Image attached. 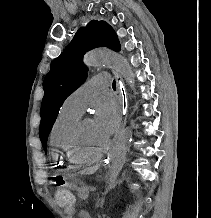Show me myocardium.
<instances>
[{
  "mask_svg": "<svg viewBox=\"0 0 211 218\" xmlns=\"http://www.w3.org/2000/svg\"><path fill=\"white\" fill-rule=\"evenodd\" d=\"M88 119L89 118H80L73 127L70 135L71 150L74 156L80 160H97L109 152L112 141L110 140L104 148L96 151L84 148L81 142V130L84 122Z\"/></svg>",
  "mask_w": 211,
  "mask_h": 218,
  "instance_id": "f54148a6",
  "label": "myocardium"
}]
</instances>
